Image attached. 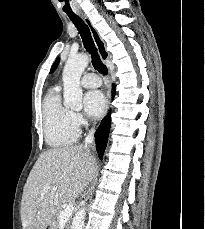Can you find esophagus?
<instances>
[{
	"label": "esophagus",
	"mask_w": 205,
	"mask_h": 229,
	"mask_svg": "<svg viewBox=\"0 0 205 229\" xmlns=\"http://www.w3.org/2000/svg\"><path fill=\"white\" fill-rule=\"evenodd\" d=\"M85 24L89 27V30L91 32L92 38L94 40V43L98 49V53L104 63H107L109 59V53L106 49V45L104 41L101 39L98 31L96 30L95 26L91 22V20L87 16H82ZM111 108V84L110 82L107 85V112Z\"/></svg>",
	"instance_id": "obj_1"
}]
</instances>
